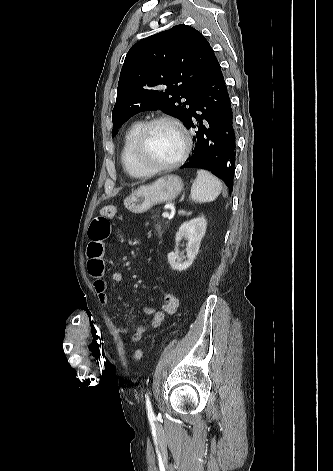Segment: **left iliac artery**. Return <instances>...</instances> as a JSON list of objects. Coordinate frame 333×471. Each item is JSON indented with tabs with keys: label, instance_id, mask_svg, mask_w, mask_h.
<instances>
[{
	"label": "left iliac artery",
	"instance_id": "left-iliac-artery-1",
	"mask_svg": "<svg viewBox=\"0 0 333 471\" xmlns=\"http://www.w3.org/2000/svg\"><path fill=\"white\" fill-rule=\"evenodd\" d=\"M146 408H147V413H148V416H154V413H153V409H152V405H151V401H150V398H149V395L147 394L146 395Z\"/></svg>",
	"mask_w": 333,
	"mask_h": 471
}]
</instances>
